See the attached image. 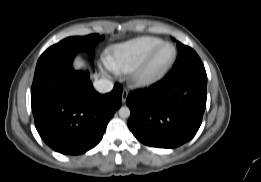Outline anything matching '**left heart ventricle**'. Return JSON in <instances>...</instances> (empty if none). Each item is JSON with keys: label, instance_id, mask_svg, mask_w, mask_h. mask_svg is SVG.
Masks as SVG:
<instances>
[{"label": "left heart ventricle", "instance_id": "obj_1", "mask_svg": "<svg viewBox=\"0 0 261 182\" xmlns=\"http://www.w3.org/2000/svg\"><path fill=\"white\" fill-rule=\"evenodd\" d=\"M172 56H173V48L171 46L163 47L151 62L149 70L151 72H154L161 69L170 61Z\"/></svg>", "mask_w": 261, "mask_h": 182}]
</instances>
